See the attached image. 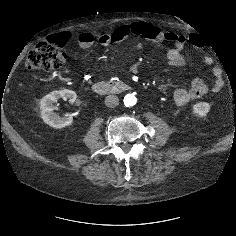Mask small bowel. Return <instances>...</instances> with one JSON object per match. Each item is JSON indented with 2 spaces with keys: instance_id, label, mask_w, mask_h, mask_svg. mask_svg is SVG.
<instances>
[{
  "instance_id": "small-bowel-1",
  "label": "small bowel",
  "mask_w": 236,
  "mask_h": 236,
  "mask_svg": "<svg viewBox=\"0 0 236 236\" xmlns=\"http://www.w3.org/2000/svg\"><path fill=\"white\" fill-rule=\"evenodd\" d=\"M130 35L143 37L157 42H170L172 48L167 52V62L172 66H183L186 64V58L183 50L190 42L197 45L200 36L192 34L190 36L178 35L172 32H164L155 25L147 22L137 21L130 24H124L116 28L112 33L100 35L97 40L102 46H108L117 43ZM63 42L67 43L71 37L69 32H61L57 34ZM96 36L91 32H82L78 35V44L81 49H89L94 45ZM206 64H210V60L206 59ZM214 81L211 86L205 84L202 80L195 78L191 80L189 87H179L173 92V102L177 107H182L190 101L201 98L209 90L213 93L219 92L224 81L221 71L216 68L213 71Z\"/></svg>"
}]
</instances>
